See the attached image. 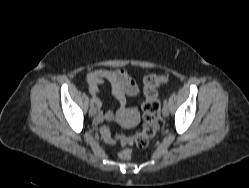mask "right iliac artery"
<instances>
[{
    "instance_id": "82829eb1",
    "label": "right iliac artery",
    "mask_w": 249,
    "mask_h": 188,
    "mask_svg": "<svg viewBox=\"0 0 249 188\" xmlns=\"http://www.w3.org/2000/svg\"><path fill=\"white\" fill-rule=\"evenodd\" d=\"M97 98L95 96H92L90 105H94V102H96Z\"/></svg>"
}]
</instances>
